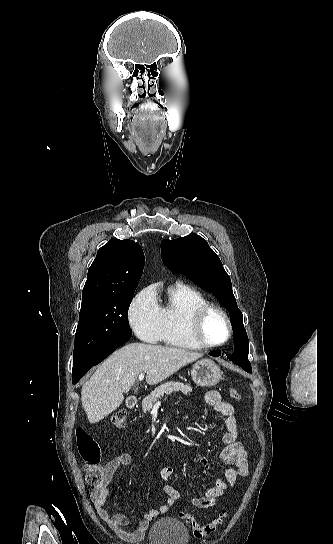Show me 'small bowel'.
I'll return each mask as SVG.
<instances>
[{
  "mask_svg": "<svg viewBox=\"0 0 333 544\" xmlns=\"http://www.w3.org/2000/svg\"><path fill=\"white\" fill-rule=\"evenodd\" d=\"M205 403L216 413L224 417L225 432L221 436L223 448L220 452L221 460L227 465H233L224 471L223 477L214 481V484L206 491L203 497L193 498L192 504L199 509H206L215 505L218 498L231 487L238 478H244L249 473L248 454L243 445L238 442V427L234 416L232 404L222 400L220 393L209 390L204 395ZM199 462L206 468L209 464L205 458H199ZM132 463V457L128 453H122L106 463L104 466L105 483L98 490H91L90 497L99 517L121 539L128 542H140L149 527L150 522L161 514L167 513L182 493L172 485L164 486L167 498L158 508L151 509L143 514L135 529H130L129 518L122 513L111 514L106 509V500L109 495V484L118 469L127 467ZM174 474V467L165 466L160 471L161 479L168 481Z\"/></svg>",
  "mask_w": 333,
  "mask_h": 544,
  "instance_id": "c3829d8e",
  "label": "small bowel"
}]
</instances>
